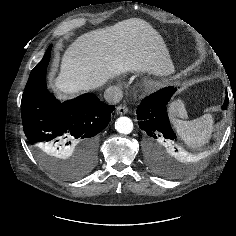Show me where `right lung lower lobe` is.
Instances as JSON below:
<instances>
[{
    "label": "right lung lower lobe",
    "mask_w": 236,
    "mask_h": 236,
    "mask_svg": "<svg viewBox=\"0 0 236 236\" xmlns=\"http://www.w3.org/2000/svg\"><path fill=\"white\" fill-rule=\"evenodd\" d=\"M51 48L31 71L22 96L24 133L31 145L47 153L65 154L74 149L81 160L94 162L97 134L108 125L114 107L92 93L59 102L46 86Z\"/></svg>",
    "instance_id": "98d812e1"
}]
</instances>
